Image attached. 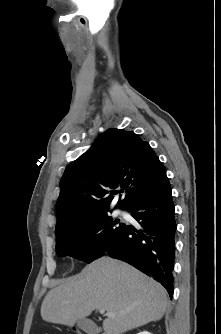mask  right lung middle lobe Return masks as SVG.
<instances>
[{"label": "right lung middle lobe", "instance_id": "right-lung-middle-lobe-1", "mask_svg": "<svg viewBox=\"0 0 221 334\" xmlns=\"http://www.w3.org/2000/svg\"><path fill=\"white\" fill-rule=\"evenodd\" d=\"M113 221L107 214L67 228L56 238V253L72 256L86 263L102 257L119 238L126 226ZM91 237V238H90Z\"/></svg>", "mask_w": 221, "mask_h": 334}]
</instances>
